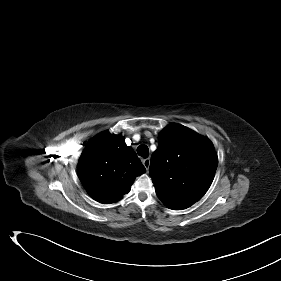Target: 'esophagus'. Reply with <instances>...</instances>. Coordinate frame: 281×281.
I'll return each mask as SVG.
<instances>
[{"instance_id": "1", "label": "esophagus", "mask_w": 281, "mask_h": 281, "mask_svg": "<svg viewBox=\"0 0 281 281\" xmlns=\"http://www.w3.org/2000/svg\"><path fill=\"white\" fill-rule=\"evenodd\" d=\"M142 163L144 165V167L146 168V170H149L150 167V158H146L142 160Z\"/></svg>"}]
</instances>
